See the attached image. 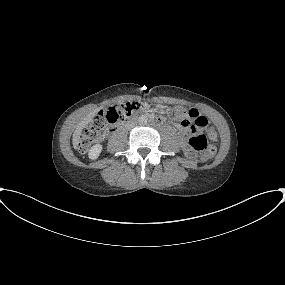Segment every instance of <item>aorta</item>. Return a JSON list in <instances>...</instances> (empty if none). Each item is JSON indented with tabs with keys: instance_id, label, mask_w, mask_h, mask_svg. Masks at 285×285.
<instances>
[{
	"instance_id": "obj_1",
	"label": "aorta",
	"mask_w": 285,
	"mask_h": 285,
	"mask_svg": "<svg viewBox=\"0 0 285 285\" xmlns=\"http://www.w3.org/2000/svg\"><path fill=\"white\" fill-rule=\"evenodd\" d=\"M138 122L140 124H146L147 123V117L145 115H141L138 119Z\"/></svg>"
}]
</instances>
